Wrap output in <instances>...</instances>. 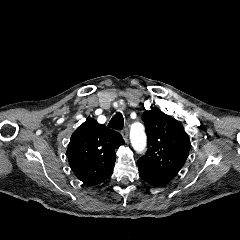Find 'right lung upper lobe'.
<instances>
[{
	"label": "right lung upper lobe",
	"mask_w": 240,
	"mask_h": 240,
	"mask_svg": "<svg viewBox=\"0 0 240 240\" xmlns=\"http://www.w3.org/2000/svg\"><path fill=\"white\" fill-rule=\"evenodd\" d=\"M123 143L120 133L88 118L72 134L67 149L71 169L86 185H99L111 176L115 149Z\"/></svg>",
	"instance_id": "1"
}]
</instances>
